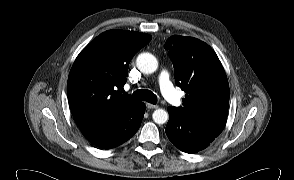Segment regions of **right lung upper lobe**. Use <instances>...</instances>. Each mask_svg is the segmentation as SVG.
Here are the masks:
<instances>
[{
  "instance_id": "obj_1",
  "label": "right lung upper lobe",
  "mask_w": 294,
  "mask_h": 180,
  "mask_svg": "<svg viewBox=\"0 0 294 180\" xmlns=\"http://www.w3.org/2000/svg\"><path fill=\"white\" fill-rule=\"evenodd\" d=\"M152 37L134 31L109 30L77 56L68 77V102L78 127L105 122L134 100L124 86L135 53Z\"/></svg>"
}]
</instances>
